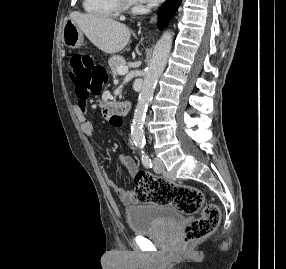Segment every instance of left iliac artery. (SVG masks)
I'll list each match as a JSON object with an SVG mask.
<instances>
[{"label": "left iliac artery", "mask_w": 286, "mask_h": 269, "mask_svg": "<svg viewBox=\"0 0 286 269\" xmlns=\"http://www.w3.org/2000/svg\"><path fill=\"white\" fill-rule=\"evenodd\" d=\"M141 160H142L143 165H144L146 168H152L153 165H152V161H151V159H150L149 156L143 155L142 158H141Z\"/></svg>", "instance_id": "left-iliac-artery-1"}]
</instances>
